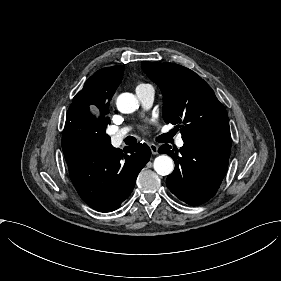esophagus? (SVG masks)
Segmentation results:
<instances>
[{
    "label": "esophagus",
    "instance_id": "34e87169",
    "mask_svg": "<svg viewBox=\"0 0 281 281\" xmlns=\"http://www.w3.org/2000/svg\"><path fill=\"white\" fill-rule=\"evenodd\" d=\"M149 147H150V150H151L152 154L158 153V147L155 144L149 143Z\"/></svg>",
    "mask_w": 281,
    "mask_h": 281
}]
</instances>
